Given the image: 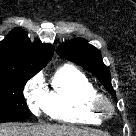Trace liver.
<instances>
[{
  "instance_id": "liver-1",
  "label": "liver",
  "mask_w": 136,
  "mask_h": 136,
  "mask_svg": "<svg viewBox=\"0 0 136 136\" xmlns=\"http://www.w3.org/2000/svg\"><path fill=\"white\" fill-rule=\"evenodd\" d=\"M0 136H101L98 131L78 129L64 125H17L0 124Z\"/></svg>"
}]
</instances>
